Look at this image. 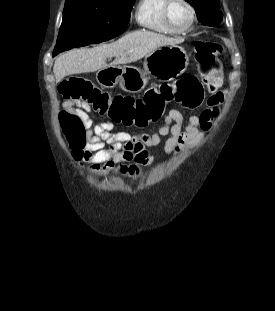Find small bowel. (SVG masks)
Segmentation results:
<instances>
[{
	"label": "small bowel",
	"mask_w": 275,
	"mask_h": 311,
	"mask_svg": "<svg viewBox=\"0 0 275 311\" xmlns=\"http://www.w3.org/2000/svg\"><path fill=\"white\" fill-rule=\"evenodd\" d=\"M222 82L221 73L206 79L207 86L213 93L207 101L209 106H203L200 116H191L185 128H183V114L178 109H171L164 116L163 125L152 133L114 131L111 121L94 123L88 114L89 104L64 102L65 111L78 114L87 129L88 142L76 155L79 167L99 177L107 174L116 164L122 162L133 160L141 165H151L154 162V156L147 149L158 146L164 137H167L163 146L165 155H176L182 146L201 136L200 129L207 131L210 128V122L217 114L212 107L224 100V93L219 92ZM188 110H191V107H188Z\"/></svg>",
	"instance_id": "obj_1"
}]
</instances>
